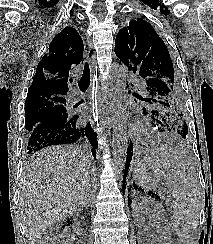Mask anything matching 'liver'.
<instances>
[{
	"instance_id": "1",
	"label": "liver",
	"mask_w": 213,
	"mask_h": 244,
	"mask_svg": "<svg viewBox=\"0 0 213 244\" xmlns=\"http://www.w3.org/2000/svg\"><path fill=\"white\" fill-rule=\"evenodd\" d=\"M91 156L73 146L44 148L30 158L20 191L29 244L56 221L73 214L88 187Z\"/></svg>"
}]
</instances>
